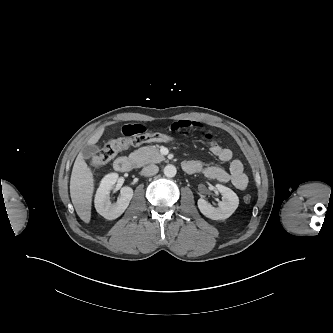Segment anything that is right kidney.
Segmentation results:
<instances>
[{
    "mask_svg": "<svg viewBox=\"0 0 333 333\" xmlns=\"http://www.w3.org/2000/svg\"><path fill=\"white\" fill-rule=\"evenodd\" d=\"M118 179V174H107L101 181L95 195L96 211L108 220L118 218L128 207L133 197V189L130 187L121 188V195L115 203L110 200V191Z\"/></svg>",
    "mask_w": 333,
    "mask_h": 333,
    "instance_id": "obj_1",
    "label": "right kidney"
}]
</instances>
